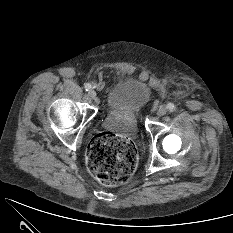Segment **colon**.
Here are the masks:
<instances>
[{"label": "colon", "instance_id": "1", "mask_svg": "<svg viewBox=\"0 0 233 233\" xmlns=\"http://www.w3.org/2000/svg\"><path fill=\"white\" fill-rule=\"evenodd\" d=\"M86 162L89 171L101 183L114 186L124 183L137 166V151L123 134L102 132L90 141Z\"/></svg>", "mask_w": 233, "mask_h": 233}]
</instances>
